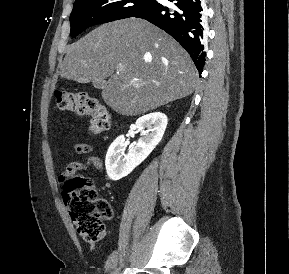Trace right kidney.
<instances>
[{
	"label": "right kidney",
	"mask_w": 289,
	"mask_h": 274,
	"mask_svg": "<svg viewBox=\"0 0 289 274\" xmlns=\"http://www.w3.org/2000/svg\"><path fill=\"white\" fill-rule=\"evenodd\" d=\"M168 119L164 113L153 112L137 119L135 129L142 133L136 146L125 154V137L120 135L110 145L105 160L108 177L117 181L140 165L161 141Z\"/></svg>",
	"instance_id": "ca27d5eb"
}]
</instances>
